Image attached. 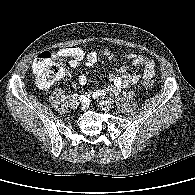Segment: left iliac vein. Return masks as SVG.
I'll return each mask as SVG.
<instances>
[{
  "mask_svg": "<svg viewBox=\"0 0 195 195\" xmlns=\"http://www.w3.org/2000/svg\"><path fill=\"white\" fill-rule=\"evenodd\" d=\"M98 106H99L102 110H104V111H109V110H111V108H112L111 103L108 102V101H105V100H100V101L98 102Z\"/></svg>",
  "mask_w": 195,
  "mask_h": 195,
  "instance_id": "obj_1",
  "label": "left iliac vein"
}]
</instances>
